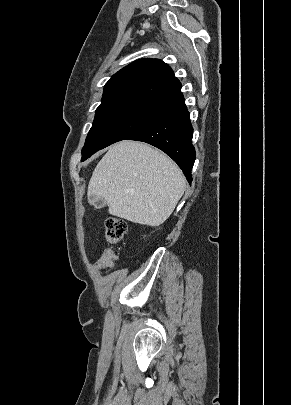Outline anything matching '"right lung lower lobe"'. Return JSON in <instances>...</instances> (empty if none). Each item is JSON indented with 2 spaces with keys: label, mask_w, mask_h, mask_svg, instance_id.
<instances>
[{
  "label": "right lung lower lobe",
  "mask_w": 291,
  "mask_h": 405,
  "mask_svg": "<svg viewBox=\"0 0 291 405\" xmlns=\"http://www.w3.org/2000/svg\"><path fill=\"white\" fill-rule=\"evenodd\" d=\"M192 136L189 112L184 98L181 97L163 114L125 140L142 141L161 149L179 165L190 183L196 158Z\"/></svg>",
  "instance_id": "98d812e1"
}]
</instances>
